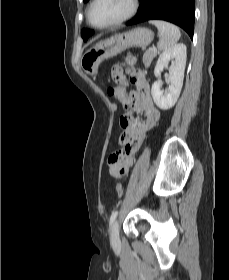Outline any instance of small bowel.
<instances>
[{
    "mask_svg": "<svg viewBox=\"0 0 229 280\" xmlns=\"http://www.w3.org/2000/svg\"><path fill=\"white\" fill-rule=\"evenodd\" d=\"M113 79L123 85H128V80L123 74L121 66H115L112 70ZM136 89L127 94L124 87L120 88H109L108 93L114 96L120 101L126 108L132 110L130 115L132 123L128 128H124L123 132L119 137V142L123 145H129L131 148V154H133L140 146L145 133L151 129L160 119L161 111L158 109L153 102L151 96V89L149 82L144 78L140 77L135 81ZM142 113L144 118L137 120L134 114ZM113 176L123 178V175L110 171Z\"/></svg>",
    "mask_w": 229,
    "mask_h": 280,
    "instance_id": "c3829d8e",
    "label": "small bowel"
}]
</instances>
